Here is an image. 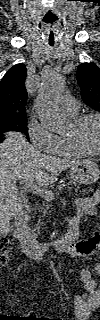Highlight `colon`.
<instances>
[{
  "label": "colon",
  "mask_w": 100,
  "mask_h": 320,
  "mask_svg": "<svg viewBox=\"0 0 100 320\" xmlns=\"http://www.w3.org/2000/svg\"><path fill=\"white\" fill-rule=\"evenodd\" d=\"M100 241V236L98 234H94L91 236L88 240L84 243V254H90L92 253L98 246ZM12 245V239L9 236H4L1 239V248H2V256L0 259V264L5 265L7 260V255L10 251ZM55 320H61V319H55Z\"/></svg>",
  "instance_id": "obj_1"
}]
</instances>
